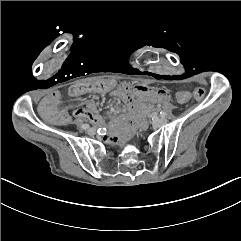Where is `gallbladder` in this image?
<instances>
[{
    "label": "gallbladder",
    "instance_id": "gallbladder-1",
    "mask_svg": "<svg viewBox=\"0 0 241 241\" xmlns=\"http://www.w3.org/2000/svg\"><path fill=\"white\" fill-rule=\"evenodd\" d=\"M56 103L59 110H64L66 108L65 96L63 94H58L56 96Z\"/></svg>",
    "mask_w": 241,
    "mask_h": 241
}]
</instances>
